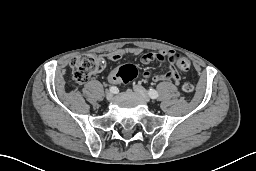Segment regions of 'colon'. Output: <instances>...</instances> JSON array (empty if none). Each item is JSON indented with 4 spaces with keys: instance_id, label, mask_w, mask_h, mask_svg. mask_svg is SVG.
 Masks as SVG:
<instances>
[{
    "instance_id": "1",
    "label": "colon",
    "mask_w": 256,
    "mask_h": 171,
    "mask_svg": "<svg viewBox=\"0 0 256 171\" xmlns=\"http://www.w3.org/2000/svg\"><path fill=\"white\" fill-rule=\"evenodd\" d=\"M175 63L182 70H188L191 62L188 57L177 56ZM105 67V61L101 56L93 54H81L71 60L72 80L78 85L86 82L90 75L100 72ZM117 77L123 83H130L138 76V69L133 64H124L117 70ZM193 85L189 82L183 83L181 90L185 94L193 92Z\"/></svg>"
}]
</instances>
